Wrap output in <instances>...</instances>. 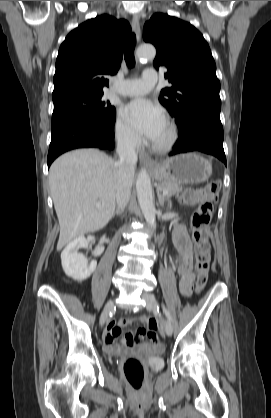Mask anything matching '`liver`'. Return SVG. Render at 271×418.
<instances>
[{
  "label": "liver",
  "mask_w": 271,
  "mask_h": 418,
  "mask_svg": "<svg viewBox=\"0 0 271 418\" xmlns=\"http://www.w3.org/2000/svg\"><path fill=\"white\" fill-rule=\"evenodd\" d=\"M117 176V162L96 149L74 150L53 162L49 187L60 225L57 250L77 237L102 229L111 220ZM133 180L134 174L131 185Z\"/></svg>",
  "instance_id": "1"
}]
</instances>
